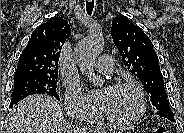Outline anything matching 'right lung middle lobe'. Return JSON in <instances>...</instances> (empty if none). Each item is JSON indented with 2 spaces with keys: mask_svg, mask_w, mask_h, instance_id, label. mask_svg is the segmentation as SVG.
<instances>
[{
  "mask_svg": "<svg viewBox=\"0 0 184 133\" xmlns=\"http://www.w3.org/2000/svg\"><path fill=\"white\" fill-rule=\"evenodd\" d=\"M57 79L58 76L56 77L34 76V77L14 78V89L12 92V100L9 107L11 108L20 100H23L24 98L32 94H47L54 96L57 100H59V96L56 92Z\"/></svg>",
  "mask_w": 184,
  "mask_h": 133,
  "instance_id": "obj_1",
  "label": "right lung middle lobe"
}]
</instances>
